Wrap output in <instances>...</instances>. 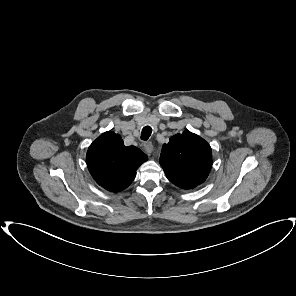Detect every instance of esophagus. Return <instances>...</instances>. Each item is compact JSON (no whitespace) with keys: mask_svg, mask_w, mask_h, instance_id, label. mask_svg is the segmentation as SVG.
<instances>
[{"mask_svg":"<svg viewBox=\"0 0 296 296\" xmlns=\"http://www.w3.org/2000/svg\"><path fill=\"white\" fill-rule=\"evenodd\" d=\"M143 148H144L145 152L148 153V154L153 151V145H152L151 142H145L143 144Z\"/></svg>","mask_w":296,"mask_h":296,"instance_id":"1","label":"esophagus"}]
</instances>
